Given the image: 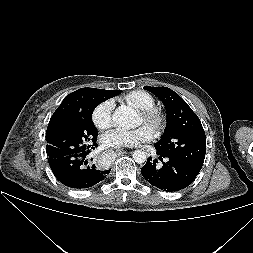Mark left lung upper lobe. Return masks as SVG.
<instances>
[{"label": "left lung upper lobe", "mask_w": 253, "mask_h": 253, "mask_svg": "<svg viewBox=\"0 0 253 253\" xmlns=\"http://www.w3.org/2000/svg\"><path fill=\"white\" fill-rule=\"evenodd\" d=\"M144 89L156 95L167 112L164 134L154 145L157 152L172 157L199 173L206 153V137L198 116L170 88L145 86Z\"/></svg>", "instance_id": "1"}]
</instances>
